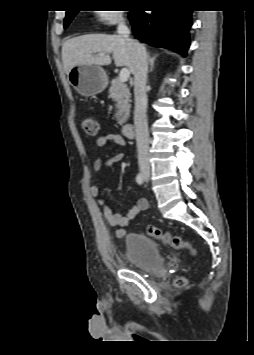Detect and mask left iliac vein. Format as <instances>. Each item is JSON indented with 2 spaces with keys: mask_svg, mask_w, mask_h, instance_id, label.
I'll use <instances>...</instances> for the list:
<instances>
[{
  "mask_svg": "<svg viewBox=\"0 0 254 355\" xmlns=\"http://www.w3.org/2000/svg\"><path fill=\"white\" fill-rule=\"evenodd\" d=\"M145 181L148 182V177L145 178Z\"/></svg>",
  "mask_w": 254,
  "mask_h": 355,
  "instance_id": "4c4485c4",
  "label": "left iliac vein"
}]
</instances>
